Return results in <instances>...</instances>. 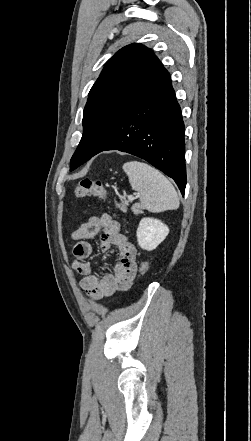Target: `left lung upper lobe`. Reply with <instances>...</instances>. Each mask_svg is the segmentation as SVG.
I'll return each mask as SVG.
<instances>
[{
    "instance_id": "1",
    "label": "left lung upper lobe",
    "mask_w": 251,
    "mask_h": 441,
    "mask_svg": "<svg viewBox=\"0 0 251 441\" xmlns=\"http://www.w3.org/2000/svg\"><path fill=\"white\" fill-rule=\"evenodd\" d=\"M167 70L153 51L139 43L120 49L92 86L83 112V136L71 158L70 170L87 161L85 136L92 124L113 115H126L137 100Z\"/></svg>"
}]
</instances>
